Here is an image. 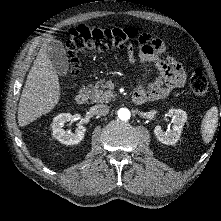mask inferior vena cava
Masks as SVG:
<instances>
[{
	"label": "inferior vena cava",
	"instance_id": "inferior-vena-cava-1",
	"mask_svg": "<svg viewBox=\"0 0 221 221\" xmlns=\"http://www.w3.org/2000/svg\"><path fill=\"white\" fill-rule=\"evenodd\" d=\"M95 114L105 116L109 113V106L104 104L95 105L93 107Z\"/></svg>",
	"mask_w": 221,
	"mask_h": 221
}]
</instances>
